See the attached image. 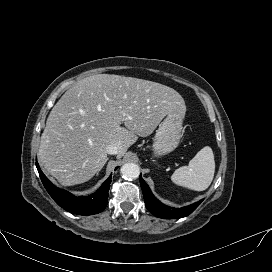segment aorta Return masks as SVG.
I'll return each mask as SVG.
<instances>
[{
    "mask_svg": "<svg viewBox=\"0 0 272 272\" xmlns=\"http://www.w3.org/2000/svg\"><path fill=\"white\" fill-rule=\"evenodd\" d=\"M120 173L124 179L133 180L138 178L140 174V168L135 163H125L121 167Z\"/></svg>",
    "mask_w": 272,
    "mask_h": 272,
    "instance_id": "1",
    "label": "aorta"
}]
</instances>
